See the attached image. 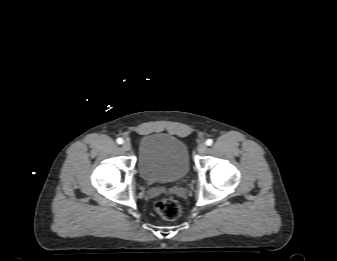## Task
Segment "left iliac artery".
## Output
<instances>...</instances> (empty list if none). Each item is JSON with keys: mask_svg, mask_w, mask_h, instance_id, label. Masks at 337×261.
<instances>
[{"mask_svg": "<svg viewBox=\"0 0 337 261\" xmlns=\"http://www.w3.org/2000/svg\"><path fill=\"white\" fill-rule=\"evenodd\" d=\"M212 143H213L212 139H207L206 140V145L210 146V145H212Z\"/></svg>", "mask_w": 337, "mask_h": 261, "instance_id": "1", "label": "left iliac artery"}]
</instances>
